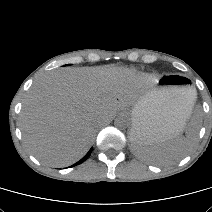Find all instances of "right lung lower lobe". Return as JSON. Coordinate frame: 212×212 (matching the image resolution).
Masks as SVG:
<instances>
[{"instance_id":"right-lung-lower-lobe-1","label":"right lung lower lobe","mask_w":212,"mask_h":212,"mask_svg":"<svg viewBox=\"0 0 212 212\" xmlns=\"http://www.w3.org/2000/svg\"><path fill=\"white\" fill-rule=\"evenodd\" d=\"M91 151H92V148L90 149V151L80 161H78L77 163H75L73 166H76V165L84 162L89 157Z\"/></svg>"}]
</instances>
